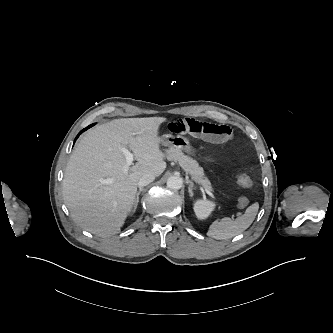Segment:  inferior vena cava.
Segmentation results:
<instances>
[{
    "label": "inferior vena cava",
    "mask_w": 333,
    "mask_h": 333,
    "mask_svg": "<svg viewBox=\"0 0 333 333\" xmlns=\"http://www.w3.org/2000/svg\"><path fill=\"white\" fill-rule=\"evenodd\" d=\"M155 180V176L153 174H145L143 175L139 182H138V187L142 188L144 186H147L148 184H150L151 182H153Z\"/></svg>",
    "instance_id": "inferior-vena-cava-1"
}]
</instances>
